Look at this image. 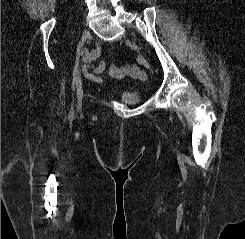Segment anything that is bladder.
Segmentation results:
<instances>
[{"label": "bladder", "instance_id": "obj_1", "mask_svg": "<svg viewBox=\"0 0 245 239\" xmlns=\"http://www.w3.org/2000/svg\"><path fill=\"white\" fill-rule=\"evenodd\" d=\"M142 93L140 91L128 90L120 94V99L127 104H139L142 101Z\"/></svg>", "mask_w": 245, "mask_h": 239}]
</instances>
